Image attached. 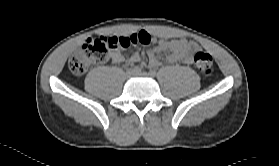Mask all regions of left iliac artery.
Masks as SVG:
<instances>
[{
  "label": "left iliac artery",
  "mask_w": 279,
  "mask_h": 166,
  "mask_svg": "<svg viewBox=\"0 0 279 166\" xmlns=\"http://www.w3.org/2000/svg\"><path fill=\"white\" fill-rule=\"evenodd\" d=\"M149 74H150L151 76H155V75H156V71L151 69V70L149 71Z\"/></svg>",
  "instance_id": "obj_1"
}]
</instances>
